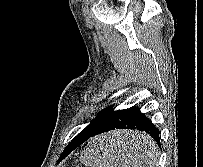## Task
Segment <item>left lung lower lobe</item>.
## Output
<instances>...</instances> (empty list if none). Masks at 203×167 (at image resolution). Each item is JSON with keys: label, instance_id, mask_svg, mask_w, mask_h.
<instances>
[{"label": "left lung lower lobe", "instance_id": "left-lung-lower-lobe-1", "mask_svg": "<svg viewBox=\"0 0 203 167\" xmlns=\"http://www.w3.org/2000/svg\"><path fill=\"white\" fill-rule=\"evenodd\" d=\"M115 129H136L139 131H144L148 133L160 147L159 129L152 123L150 119L141 113L139 108L131 107L117 111L112 110L92 133L76 136L65 148L62 156L66 157L71 151L80 146L89 138ZM108 145L111 144L108 143ZM111 146L115 150L116 148L133 149L137 154L143 153V150H147L145 146L138 145L136 143L132 144L130 142L123 144H116L114 142Z\"/></svg>", "mask_w": 203, "mask_h": 167}]
</instances>
